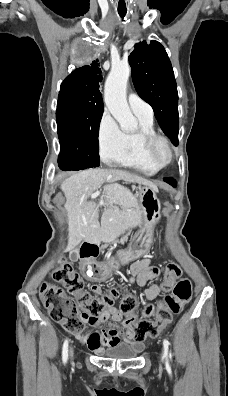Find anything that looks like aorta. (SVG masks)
<instances>
[{
  "mask_svg": "<svg viewBox=\"0 0 228 396\" xmlns=\"http://www.w3.org/2000/svg\"><path fill=\"white\" fill-rule=\"evenodd\" d=\"M131 69L127 63L113 65L105 82V104L118 121L121 130L130 132L136 129L137 120L131 113L127 99L126 87Z\"/></svg>",
  "mask_w": 228,
  "mask_h": 396,
  "instance_id": "aorta-1",
  "label": "aorta"
}]
</instances>
